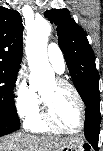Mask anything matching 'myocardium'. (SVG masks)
Here are the masks:
<instances>
[{"instance_id":"1","label":"myocardium","mask_w":103,"mask_h":151,"mask_svg":"<svg viewBox=\"0 0 103 151\" xmlns=\"http://www.w3.org/2000/svg\"><path fill=\"white\" fill-rule=\"evenodd\" d=\"M55 82H56L57 86L69 89L74 94V96H75V98L79 104V107H80L81 124H80L79 128H77L75 130L65 129V128H62L59 125H57L51 116L50 107H49L48 102L41 95V104H42L41 105V117H42V120H43L44 124L51 131L63 133V134H79L85 129L86 124H87V110H86L85 102H84L81 94L79 93V91L70 82H68L65 79H57Z\"/></svg>"}]
</instances>
